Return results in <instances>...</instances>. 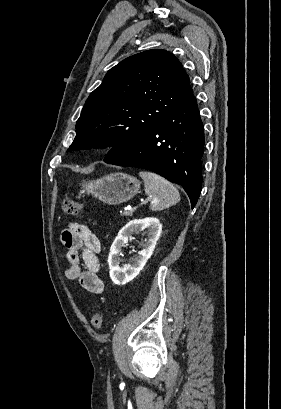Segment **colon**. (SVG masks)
<instances>
[{
  "label": "colon",
  "mask_w": 281,
  "mask_h": 409,
  "mask_svg": "<svg viewBox=\"0 0 281 409\" xmlns=\"http://www.w3.org/2000/svg\"><path fill=\"white\" fill-rule=\"evenodd\" d=\"M62 209L65 212L66 215L69 216H77L79 213L80 206L77 202L70 200V199H64L62 203ZM103 314L101 312H95L92 317V327L95 330H100L103 326Z\"/></svg>",
  "instance_id": "1"
}]
</instances>
